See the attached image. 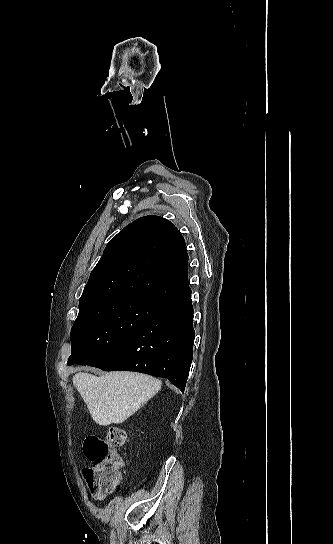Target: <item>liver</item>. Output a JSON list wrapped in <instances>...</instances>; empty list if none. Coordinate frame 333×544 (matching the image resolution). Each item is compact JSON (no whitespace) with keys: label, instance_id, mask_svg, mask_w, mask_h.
Masks as SVG:
<instances>
[{"label":"liver","instance_id":"6515ba94","mask_svg":"<svg viewBox=\"0 0 333 544\" xmlns=\"http://www.w3.org/2000/svg\"><path fill=\"white\" fill-rule=\"evenodd\" d=\"M73 384L99 425L120 424L161 388V381L135 372H110L102 376L79 372Z\"/></svg>","mask_w":333,"mask_h":544}]
</instances>
